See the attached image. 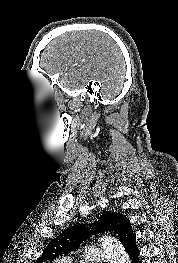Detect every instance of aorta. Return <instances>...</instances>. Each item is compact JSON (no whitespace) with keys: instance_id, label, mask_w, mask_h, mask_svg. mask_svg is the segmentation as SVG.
I'll list each match as a JSON object with an SVG mask.
<instances>
[{"instance_id":"1","label":"aorta","mask_w":178,"mask_h":263,"mask_svg":"<svg viewBox=\"0 0 178 263\" xmlns=\"http://www.w3.org/2000/svg\"><path fill=\"white\" fill-rule=\"evenodd\" d=\"M100 243L104 249L109 263H130L123 246L111 236H103Z\"/></svg>"}]
</instances>
